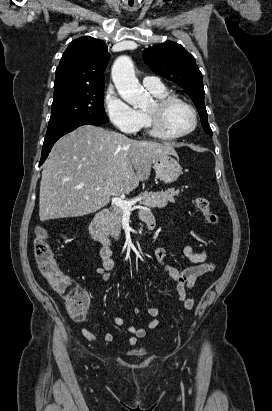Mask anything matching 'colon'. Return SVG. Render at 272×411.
Wrapping results in <instances>:
<instances>
[{"mask_svg": "<svg viewBox=\"0 0 272 411\" xmlns=\"http://www.w3.org/2000/svg\"><path fill=\"white\" fill-rule=\"evenodd\" d=\"M194 206L210 224L217 222V216L212 211L210 202L206 197H196ZM34 257L38 271L47 280L51 288L64 300L71 318L75 321L84 320L90 303V296L81 287L75 285L69 275L59 268L51 250L48 234L41 227L36 230ZM188 307H190V302L187 303Z\"/></svg>", "mask_w": 272, "mask_h": 411, "instance_id": "5ec220e1", "label": "colon"}]
</instances>
